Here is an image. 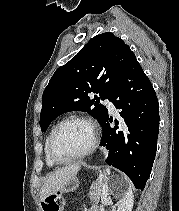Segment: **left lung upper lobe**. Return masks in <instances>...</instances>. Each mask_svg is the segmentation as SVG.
Instances as JSON below:
<instances>
[{
	"label": "left lung upper lobe",
	"instance_id": "obj_1",
	"mask_svg": "<svg viewBox=\"0 0 179 211\" xmlns=\"http://www.w3.org/2000/svg\"><path fill=\"white\" fill-rule=\"evenodd\" d=\"M134 53L113 33L97 35L68 63L59 67L50 79L42 96L40 127L45 132L60 114L86 111L100 124L108 109L100 100L110 99ZM96 93L90 98V93Z\"/></svg>",
	"mask_w": 179,
	"mask_h": 211
}]
</instances>
